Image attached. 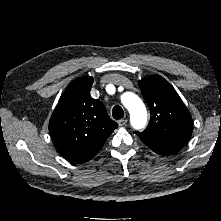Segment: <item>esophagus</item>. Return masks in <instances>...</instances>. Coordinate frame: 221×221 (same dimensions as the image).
I'll return each instance as SVG.
<instances>
[{"instance_id": "obj_1", "label": "esophagus", "mask_w": 221, "mask_h": 221, "mask_svg": "<svg viewBox=\"0 0 221 221\" xmlns=\"http://www.w3.org/2000/svg\"><path fill=\"white\" fill-rule=\"evenodd\" d=\"M126 123H127V119H120V120H118L119 126H125Z\"/></svg>"}]
</instances>
